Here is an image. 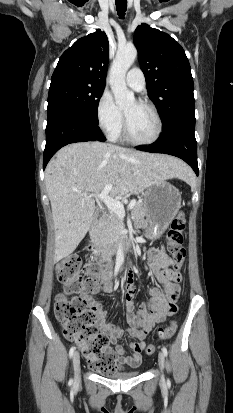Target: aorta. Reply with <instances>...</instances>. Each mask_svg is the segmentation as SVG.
I'll use <instances>...</instances> for the list:
<instances>
[{
	"label": "aorta",
	"instance_id": "aorta-1",
	"mask_svg": "<svg viewBox=\"0 0 233 413\" xmlns=\"http://www.w3.org/2000/svg\"><path fill=\"white\" fill-rule=\"evenodd\" d=\"M137 57V49L134 46L118 48L115 59L110 70V87L115 102L120 107L131 105L135 101L134 93L127 88L125 77L128 69ZM124 263V252L122 244L118 245L116 253V265Z\"/></svg>",
	"mask_w": 233,
	"mask_h": 413
}]
</instances>
